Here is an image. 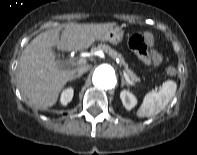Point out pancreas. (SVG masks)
Segmentation results:
<instances>
[{
    "label": "pancreas",
    "instance_id": "obj_1",
    "mask_svg": "<svg viewBox=\"0 0 197 155\" xmlns=\"http://www.w3.org/2000/svg\"><path fill=\"white\" fill-rule=\"evenodd\" d=\"M95 51L103 50L105 53H107L109 56H111L113 59L119 58L121 61L122 66L125 69V73L130 78V80L135 84L137 82H140V78L137 77V75L130 69L128 64L126 63L124 57L118 53L116 50L112 49L106 44H99L96 47L93 48Z\"/></svg>",
    "mask_w": 197,
    "mask_h": 155
}]
</instances>
